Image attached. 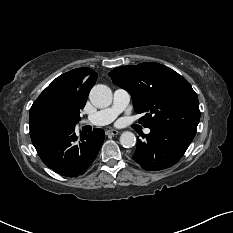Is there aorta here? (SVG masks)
Masks as SVG:
<instances>
[{"instance_id": "762f6f07", "label": "aorta", "mask_w": 233, "mask_h": 233, "mask_svg": "<svg viewBox=\"0 0 233 233\" xmlns=\"http://www.w3.org/2000/svg\"><path fill=\"white\" fill-rule=\"evenodd\" d=\"M91 103L97 108L108 107L112 103V91L103 84L95 85L89 94ZM120 144L125 148H131L136 144V137L132 132L125 131L120 136Z\"/></svg>"}]
</instances>
